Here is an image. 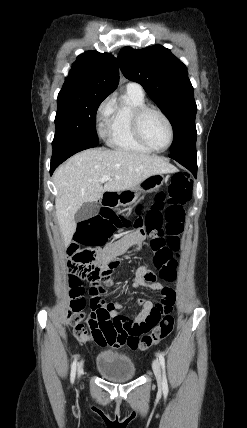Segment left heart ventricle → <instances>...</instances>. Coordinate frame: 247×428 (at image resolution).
Returning a JSON list of instances; mask_svg holds the SVG:
<instances>
[{"instance_id":"1","label":"left heart ventricle","mask_w":247,"mask_h":428,"mask_svg":"<svg viewBox=\"0 0 247 428\" xmlns=\"http://www.w3.org/2000/svg\"><path fill=\"white\" fill-rule=\"evenodd\" d=\"M142 132L146 140L156 148L164 147L169 139V130L164 119L155 112H148L142 118Z\"/></svg>"}]
</instances>
